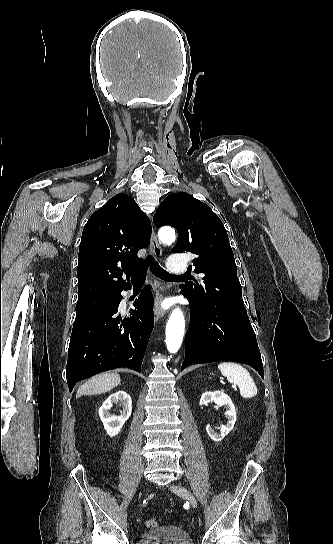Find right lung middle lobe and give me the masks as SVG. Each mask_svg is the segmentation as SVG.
Returning a JSON list of instances; mask_svg holds the SVG:
<instances>
[{
	"label": "right lung middle lobe",
	"instance_id": "dd1d6c3e",
	"mask_svg": "<svg viewBox=\"0 0 333 544\" xmlns=\"http://www.w3.org/2000/svg\"><path fill=\"white\" fill-rule=\"evenodd\" d=\"M116 298V294H104L77 301L76 319L74 323L89 318L111 306L116 301Z\"/></svg>",
	"mask_w": 333,
	"mask_h": 544
}]
</instances>
